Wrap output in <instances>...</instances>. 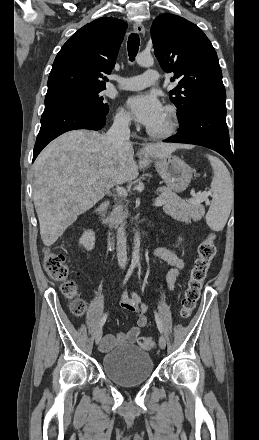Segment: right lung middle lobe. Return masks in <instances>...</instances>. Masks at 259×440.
<instances>
[{"mask_svg": "<svg viewBox=\"0 0 259 440\" xmlns=\"http://www.w3.org/2000/svg\"><path fill=\"white\" fill-rule=\"evenodd\" d=\"M105 88H69L46 94L45 109L62 106H79L89 108L102 114L108 113V104L101 96Z\"/></svg>", "mask_w": 259, "mask_h": 440, "instance_id": "dd1d6c3e", "label": "right lung middle lobe"}]
</instances>
